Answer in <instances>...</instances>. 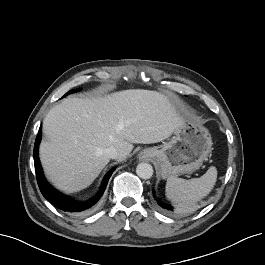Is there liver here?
Instances as JSON below:
<instances>
[{
	"label": "liver",
	"mask_w": 265,
	"mask_h": 265,
	"mask_svg": "<svg viewBox=\"0 0 265 265\" xmlns=\"http://www.w3.org/2000/svg\"><path fill=\"white\" fill-rule=\"evenodd\" d=\"M167 96L143 89L115 92L97 98H67L53 107L43 121L46 140L39 154L49 181L67 193L87 188L115 147L123 161L133 144H152L170 137L183 125Z\"/></svg>",
	"instance_id": "1"
}]
</instances>
